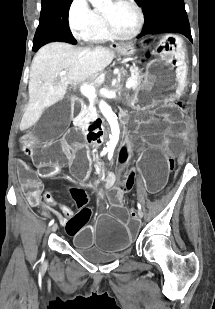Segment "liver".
<instances>
[{
	"label": "liver",
	"instance_id": "6515ba94",
	"mask_svg": "<svg viewBox=\"0 0 215 309\" xmlns=\"http://www.w3.org/2000/svg\"><path fill=\"white\" fill-rule=\"evenodd\" d=\"M113 58L114 50L107 46L76 48L68 42H49L41 46L31 64L29 104L21 120V130L31 126L35 114H41L46 106L64 98L68 84L95 80ZM61 70H67V74L56 84Z\"/></svg>",
	"mask_w": 215,
	"mask_h": 309
}]
</instances>
